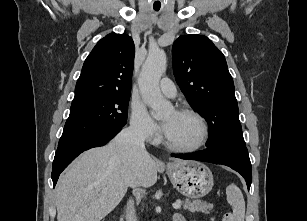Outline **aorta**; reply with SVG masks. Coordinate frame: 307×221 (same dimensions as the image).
Here are the masks:
<instances>
[{
  "mask_svg": "<svg viewBox=\"0 0 307 221\" xmlns=\"http://www.w3.org/2000/svg\"><path fill=\"white\" fill-rule=\"evenodd\" d=\"M166 63V54L163 50L150 51L138 78L142 98L152 109L155 118H162L172 109V105L163 98L159 88V81L166 70Z\"/></svg>",
  "mask_w": 307,
  "mask_h": 221,
  "instance_id": "aorta-1",
  "label": "aorta"
}]
</instances>
